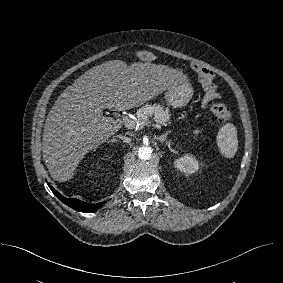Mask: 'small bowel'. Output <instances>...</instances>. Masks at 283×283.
I'll return each mask as SVG.
<instances>
[{"label": "small bowel", "instance_id": "c3829d8e", "mask_svg": "<svg viewBox=\"0 0 283 283\" xmlns=\"http://www.w3.org/2000/svg\"><path fill=\"white\" fill-rule=\"evenodd\" d=\"M192 68L200 78L201 85L204 89L203 103L207 104L218 96L217 87L214 83V73L208 68L196 64Z\"/></svg>", "mask_w": 283, "mask_h": 283}]
</instances>
